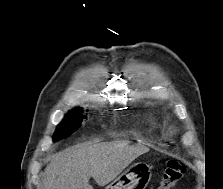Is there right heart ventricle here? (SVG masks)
<instances>
[{
  "instance_id": "1",
  "label": "right heart ventricle",
  "mask_w": 223,
  "mask_h": 189,
  "mask_svg": "<svg viewBox=\"0 0 223 189\" xmlns=\"http://www.w3.org/2000/svg\"><path fill=\"white\" fill-rule=\"evenodd\" d=\"M149 122L151 129H155L157 127V122L152 117L149 118Z\"/></svg>"
}]
</instances>
